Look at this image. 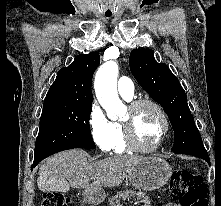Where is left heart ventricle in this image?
Masks as SVG:
<instances>
[{
	"instance_id": "b2bd125f",
	"label": "left heart ventricle",
	"mask_w": 221,
	"mask_h": 206,
	"mask_svg": "<svg viewBox=\"0 0 221 206\" xmlns=\"http://www.w3.org/2000/svg\"><path fill=\"white\" fill-rule=\"evenodd\" d=\"M123 121L132 124L135 138L142 147L153 146L161 136L163 123L158 112L149 105H144L131 112L127 110Z\"/></svg>"
}]
</instances>
